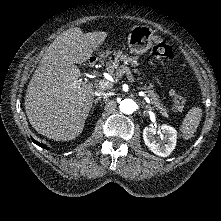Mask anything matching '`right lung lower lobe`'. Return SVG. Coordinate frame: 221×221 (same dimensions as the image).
<instances>
[{
    "instance_id": "right-lung-lower-lobe-1",
    "label": "right lung lower lobe",
    "mask_w": 221,
    "mask_h": 221,
    "mask_svg": "<svg viewBox=\"0 0 221 221\" xmlns=\"http://www.w3.org/2000/svg\"><path fill=\"white\" fill-rule=\"evenodd\" d=\"M32 141H33L35 144L39 145L40 147H43V148H45V149H48V147H47L46 145H44V144H42V143H39V142H37V141H35V140H33V139H32Z\"/></svg>"
}]
</instances>
